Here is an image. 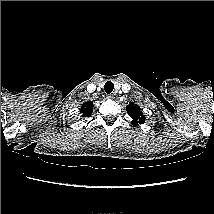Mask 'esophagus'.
<instances>
[{
  "label": "esophagus",
  "mask_w": 214,
  "mask_h": 214,
  "mask_svg": "<svg viewBox=\"0 0 214 214\" xmlns=\"http://www.w3.org/2000/svg\"><path fill=\"white\" fill-rule=\"evenodd\" d=\"M106 98H107V99H114V95L108 94V95L106 96Z\"/></svg>",
  "instance_id": "1"
}]
</instances>
